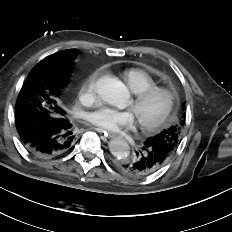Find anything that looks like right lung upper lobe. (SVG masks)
<instances>
[{
  "label": "right lung upper lobe",
  "instance_id": "cb5924a9",
  "mask_svg": "<svg viewBox=\"0 0 232 232\" xmlns=\"http://www.w3.org/2000/svg\"><path fill=\"white\" fill-rule=\"evenodd\" d=\"M73 52H75L74 49H70V50H66V51H61V52H58V53H55V54L49 56V58L46 61L56 59V58H58L60 56H63L65 54H71ZM75 55H76V52H75Z\"/></svg>",
  "mask_w": 232,
  "mask_h": 232
}]
</instances>
